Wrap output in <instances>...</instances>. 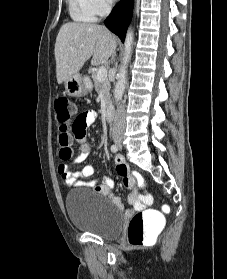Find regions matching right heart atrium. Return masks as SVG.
Wrapping results in <instances>:
<instances>
[{
	"mask_svg": "<svg viewBox=\"0 0 227 279\" xmlns=\"http://www.w3.org/2000/svg\"><path fill=\"white\" fill-rule=\"evenodd\" d=\"M87 2L96 16L105 14L109 9L110 0H87Z\"/></svg>",
	"mask_w": 227,
	"mask_h": 279,
	"instance_id": "obj_1",
	"label": "right heart atrium"
}]
</instances>
